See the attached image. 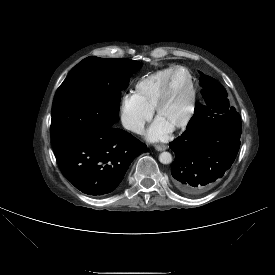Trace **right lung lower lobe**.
I'll use <instances>...</instances> for the list:
<instances>
[{"label":"right lung lower lobe","mask_w":275,"mask_h":275,"mask_svg":"<svg viewBox=\"0 0 275 275\" xmlns=\"http://www.w3.org/2000/svg\"><path fill=\"white\" fill-rule=\"evenodd\" d=\"M53 148L63 175L81 192L100 196L117 188L146 145L111 127L63 137Z\"/></svg>","instance_id":"1"}]
</instances>
